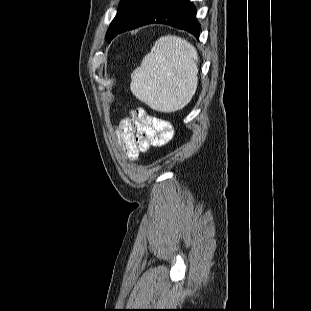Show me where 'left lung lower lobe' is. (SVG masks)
<instances>
[{
    "instance_id": "left-lung-lower-lobe-1",
    "label": "left lung lower lobe",
    "mask_w": 311,
    "mask_h": 311,
    "mask_svg": "<svg viewBox=\"0 0 311 311\" xmlns=\"http://www.w3.org/2000/svg\"><path fill=\"white\" fill-rule=\"evenodd\" d=\"M196 9L189 0H127L119 9L109 42L119 33L140 26L160 23L185 30L199 37Z\"/></svg>"
}]
</instances>
